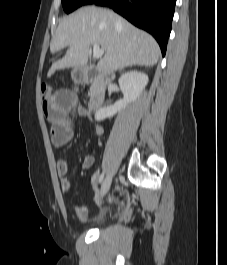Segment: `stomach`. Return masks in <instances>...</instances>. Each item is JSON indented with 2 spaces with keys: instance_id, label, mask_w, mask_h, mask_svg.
I'll list each match as a JSON object with an SVG mask.
<instances>
[{
  "instance_id": "stomach-1",
  "label": "stomach",
  "mask_w": 227,
  "mask_h": 265,
  "mask_svg": "<svg viewBox=\"0 0 227 265\" xmlns=\"http://www.w3.org/2000/svg\"><path fill=\"white\" fill-rule=\"evenodd\" d=\"M71 76H72V78L74 79V81H78V78H77V71H76V69H74V70L71 72Z\"/></svg>"
}]
</instances>
